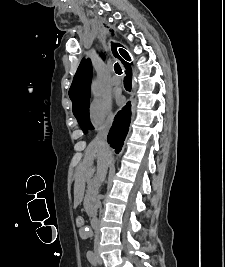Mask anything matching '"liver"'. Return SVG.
<instances>
[{"label":"liver","instance_id":"6515ba94","mask_svg":"<svg viewBox=\"0 0 225 267\" xmlns=\"http://www.w3.org/2000/svg\"><path fill=\"white\" fill-rule=\"evenodd\" d=\"M97 159V175L102 171L105 166H108L109 157L102 148L93 140L85 151L83 161L79 164L76 171V179L74 186V207H77L83 199L85 182L93 174V162ZM97 178V176H96Z\"/></svg>","mask_w":225,"mask_h":267}]
</instances>
